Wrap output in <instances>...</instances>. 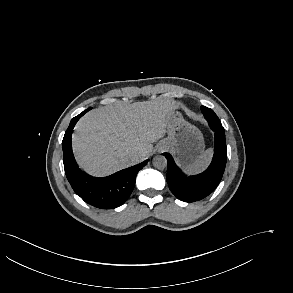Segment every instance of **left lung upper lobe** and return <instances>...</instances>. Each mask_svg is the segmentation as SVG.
Listing matches in <instances>:
<instances>
[{
    "label": "left lung upper lobe",
    "mask_w": 293,
    "mask_h": 293,
    "mask_svg": "<svg viewBox=\"0 0 293 293\" xmlns=\"http://www.w3.org/2000/svg\"><path fill=\"white\" fill-rule=\"evenodd\" d=\"M201 111L205 117V119L208 121V123H221L217 115L214 113L212 109H209L205 106L201 107Z\"/></svg>",
    "instance_id": "left-lung-upper-lobe-1"
}]
</instances>
